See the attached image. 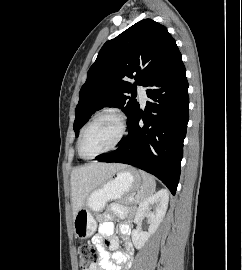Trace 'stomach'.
<instances>
[{
  "label": "stomach",
  "mask_w": 242,
  "mask_h": 270,
  "mask_svg": "<svg viewBox=\"0 0 242 270\" xmlns=\"http://www.w3.org/2000/svg\"><path fill=\"white\" fill-rule=\"evenodd\" d=\"M139 171L125 167L116 172L115 177L93 190L86 199L84 207L77 212L73 220L75 236L80 239L91 237L97 228L93 212H100L110 200H119L129 193H134L142 186Z\"/></svg>",
  "instance_id": "obj_1"
}]
</instances>
